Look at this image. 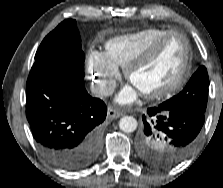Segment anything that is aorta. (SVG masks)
<instances>
[{
    "mask_svg": "<svg viewBox=\"0 0 223 188\" xmlns=\"http://www.w3.org/2000/svg\"><path fill=\"white\" fill-rule=\"evenodd\" d=\"M119 128L126 133L134 132L137 128V121L132 116H124L119 121Z\"/></svg>",
    "mask_w": 223,
    "mask_h": 188,
    "instance_id": "762f6f07",
    "label": "aorta"
}]
</instances>
